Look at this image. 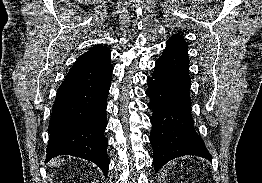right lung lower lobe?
Listing matches in <instances>:
<instances>
[{
    "label": "right lung lower lobe",
    "mask_w": 262,
    "mask_h": 183,
    "mask_svg": "<svg viewBox=\"0 0 262 183\" xmlns=\"http://www.w3.org/2000/svg\"><path fill=\"white\" fill-rule=\"evenodd\" d=\"M113 66L73 65L57 90L49 121L46 162L72 155L109 168L105 111Z\"/></svg>",
    "instance_id": "obj_1"
}]
</instances>
